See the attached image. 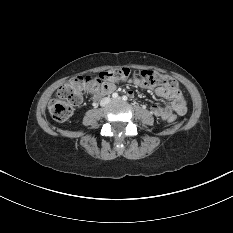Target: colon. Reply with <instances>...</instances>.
<instances>
[{"instance_id": "1", "label": "colon", "mask_w": 233, "mask_h": 233, "mask_svg": "<svg viewBox=\"0 0 233 233\" xmlns=\"http://www.w3.org/2000/svg\"><path fill=\"white\" fill-rule=\"evenodd\" d=\"M132 72L128 68H114L101 72L97 77L79 76L62 85L56 97L49 105V112L55 121L63 122L70 118L74 109L81 103L85 95L94 96L104 92L116 83L126 81V77ZM137 74V78L149 86H160L172 92H178V83L168 75L160 74L153 70H143ZM175 118L168 119L173 122Z\"/></svg>"}]
</instances>
